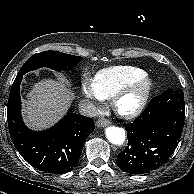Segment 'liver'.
Segmentation results:
<instances>
[{
	"mask_svg": "<svg viewBox=\"0 0 194 194\" xmlns=\"http://www.w3.org/2000/svg\"><path fill=\"white\" fill-rule=\"evenodd\" d=\"M23 101V116L32 129L47 128L56 123L66 112L71 92L64 79H44L34 84Z\"/></svg>",
	"mask_w": 194,
	"mask_h": 194,
	"instance_id": "1",
	"label": "liver"
}]
</instances>
